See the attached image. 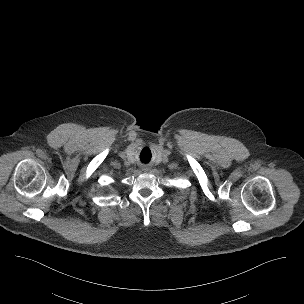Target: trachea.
Returning a JSON list of instances; mask_svg holds the SVG:
<instances>
[{
    "label": "trachea",
    "mask_w": 304,
    "mask_h": 304,
    "mask_svg": "<svg viewBox=\"0 0 304 304\" xmlns=\"http://www.w3.org/2000/svg\"><path fill=\"white\" fill-rule=\"evenodd\" d=\"M152 155H153L152 150L148 147H145L140 151V155H139L140 161L142 163H149L151 161Z\"/></svg>",
    "instance_id": "trachea-1"
}]
</instances>
